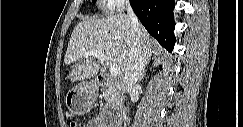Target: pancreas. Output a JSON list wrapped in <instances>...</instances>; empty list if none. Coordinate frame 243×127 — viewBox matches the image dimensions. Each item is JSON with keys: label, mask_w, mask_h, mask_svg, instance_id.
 Here are the masks:
<instances>
[{"label": "pancreas", "mask_w": 243, "mask_h": 127, "mask_svg": "<svg viewBox=\"0 0 243 127\" xmlns=\"http://www.w3.org/2000/svg\"><path fill=\"white\" fill-rule=\"evenodd\" d=\"M104 97L106 105L114 106L119 102L118 91L111 85L104 90Z\"/></svg>", "instance_id": "obj_1"}]
</instances>
